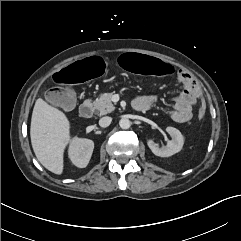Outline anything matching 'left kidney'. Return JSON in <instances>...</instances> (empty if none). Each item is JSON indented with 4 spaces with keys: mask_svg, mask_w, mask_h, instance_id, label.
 I'll return each instance as SVG.
<instances>
[{
    "mask_svg": "<svg viewBox=\"0 0 241 241\" xmlns=\"http://www.w3.org/2000/svg\"><path fill=\"white\" fill-rule=\"evenodd\" d=\"M166 131L172 139L167 142V145L165 147L159 148L158 145L152 139H149L147 141L148 147L156 156L170 157L175 153L181 151L183 147L184 138L178 129L174 127H167Z\"/></svg>",
    "mask_w": 241,
    "mask_h": 241,
    "instance_id": "5707ae66",
    "label": "left kidney"
}]
</instances>
